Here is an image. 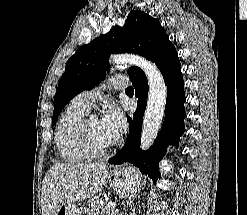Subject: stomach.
<instances>
[{"label": "stomach", "instance_id": "1", "mask_svg": "<svg viewBox=\"0 0 247 215\" xmlns=\"http://www.w3.org/2000/svg\"><path fill=\"white\" fill-rule=\"evenodd\" d=\"M109 182L115 191L124 197L132 195L139 189L140 181L133 168H123L109 176ZM81 210L75 202L61 204L54 215H80Z\"/></svg>", "mask_w": 247, "mask_h": 215}]
</instances>
